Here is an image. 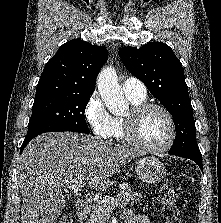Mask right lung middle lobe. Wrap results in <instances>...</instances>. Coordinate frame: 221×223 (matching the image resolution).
Masks as SVG:
<instances>
[{
  "instance_id": "obj_1",
  "label": "right lung middle lobe",
  "mask_w": 221,
  "mask_h": 223,
  "mask_svg": "<svg viewBox=\"0 0 221 223\" xmlns=\"http://www.w3.org/2000/svg\"><path fill=\"white\" fill-rule=\"evenodd\" d=\"M90 95H63L35 100L26 138L53 131L90 133L84 117Z\"/></svg>"
}]
</instances>
